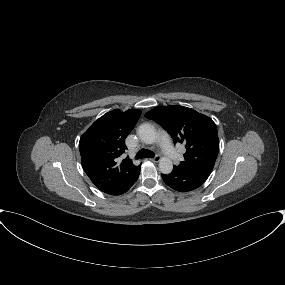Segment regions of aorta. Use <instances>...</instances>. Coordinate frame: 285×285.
<instances>
[{"instance_id": "aorta-1", "label": "aorta", "mask_w": 285, "mask_h": 285, "mask_svg": "<svg viewBox=\"0 0 285 285\" xmlns=\"http://www.w3.org/2000/svg\"><path fill=\"white\" fill-rule=\"evenodd\" d=\"M137 134L140 140L145 144H153L157 140V133L155 128L148 123L141 124L138 127ZM172 169L173 164L170 158L162 157L159 159V170L161 173L169 174L171 173Z\"/></svg>"}]
</instances>
